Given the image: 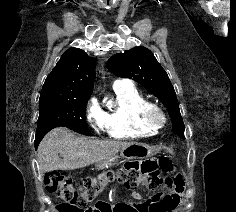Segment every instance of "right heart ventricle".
<instances>
[{
    "label": "right heart ventricle",
    "instance_id": "obj_1",
    "mask_svg": "<svg viewBox=\"0 0 236 212\" xmlns=\"http://www.w3.org/2000/svg\"><path fill=\"white\" fill-rule=\"evenodd\" d=\"M116 104L104 112L105 131L109 137L119 140L138 139L154 135L157 130L142 119L148 99L131 83L113 86Z\"/></svg>",
    "mask_w": 236,
    "mask_h": 212
}]
</instances>
